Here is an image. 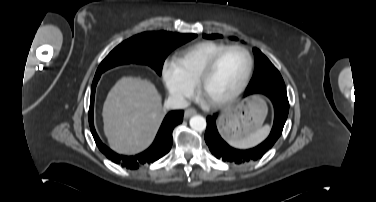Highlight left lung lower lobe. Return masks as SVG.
<instances>
[{
    "label": "left lung lower lobe",
    "instance_id": "0a47b994",
    "mask_svg": "<svg viewBox=\"0 0 376 202\" xmlns=\"http://www.w3.org/2000/svg\"><path fill=\"white\" fill-rule=\"evenodd\" d=\"M270 98L274 106V124L267 139L260 145L248 149L238 150L230 147L219 135L216 128L218 114L207 117V128L205 132V142L211 153L224 162L242 164L260 159L268 150H270L282 134L284 124L289 112V102L287 94L276 91L260 92ZM245 96V95H244Z\"/></svg>",
    "mask_w": 376,
    "mask_h": 202
}]
</instances>
